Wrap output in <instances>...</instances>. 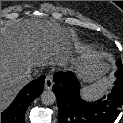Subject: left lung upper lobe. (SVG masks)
<instances>
[{
    "label": "left lung upper lobe",
    "mask_w": 123,
    "mask_h": 123,
    "mask_svg": "<svg viewBox=\"0 0 123 123\" xmlns=\"http://www.w3.org/2000/svg\"><path fill=\"white\" fill-rule=\"evenodd\" d=\"M116 65H117L118 71H116L115 75L120 76V77L123 78V66H122L121 60H119V61L116 63Z\"/></svg>",
    "instance_id": "1"
}]
</instances>
